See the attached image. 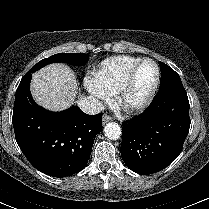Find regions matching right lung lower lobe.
<instances>
[{
    "instance_id": "right-lung-lower-lobe-1",
    "label": "right lung lower lobe",
    "mask_w": 209,
    "mask_h": 209,
    "mask_svg": "<svg viewBox=\"0 0 209 209\" xmlns=\"http://www.w3.org/2000/svg\"><path fill=\"white\" fill-rule=\"evenodd\" d=\"M32 73L21 80L15 95L13 127L16 141L39 171L62 178L81 171L102 130V114L88 115L78 107L50 112L36 105L30 94Z\"/></svg>"
}]
</instances>
